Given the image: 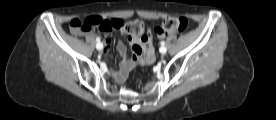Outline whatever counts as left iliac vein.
Returning a JSON list of instances; mask_svg holds the SVG:
<instances>
[{"label":"left iliac vein","instance_id":"4c4485c4","mask_svg":"<svg viewBox=\"0 0 276 120\" xmlns=\"http://www.w3.org/2000/svg\"><path fill=\"white\" fill-rule=\"evenodd\" d=\"M160 52H161L162 54H165V53L167 52L166 47L162 46V47L160 48Z\"/></svg>","mask_w":276,"mask_h":120}]
</instances>
